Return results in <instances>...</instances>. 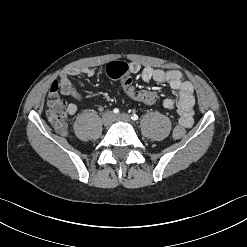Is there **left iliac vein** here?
Here are the masks:
<instances>
[{
	"instance_id": "left-iliac-vein-1",
	"label": "left iliac vein",
	"mask_w": 247,
	"mask_h": 247,
	"mask_svg": "<svg viewBox=\"0 0 247 247\" xmlns=\"http://www.w3.org/2000/svg\"><path fill=\"white\" fill-rule=\"evenodd\" d=\"M115 120L130 122V117L125 113H121V114L115 116Z\"/></svg>"
}]
</instances>
